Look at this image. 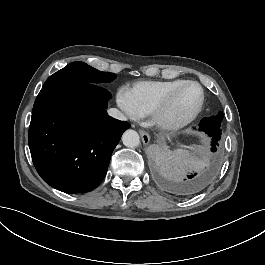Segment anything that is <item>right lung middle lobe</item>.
Listing matches in <instances>:
<instances>
[{"mask_svg":"<svg viewBox=\"0 0 265 265\" xmlns=\"http://www.w3.org/2000/svg\"><path fill=\"white\" fill-rule=\"evenodd\" d=\"M116 78L114 73L101 72L83 62H73L51 75L43 88L78 84H100L111 82Z\"/></svg>","mask_w":265,"mask_h":265,"instance_id":"right-lung-middle-lobe-1","label":"right lung middle lobe"}]
</instances>
